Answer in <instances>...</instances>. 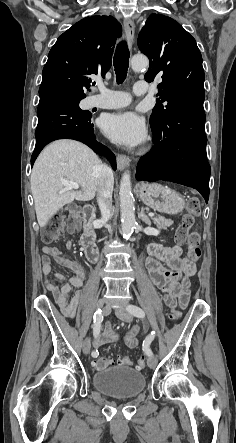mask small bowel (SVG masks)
<instances>
[{"label": "small bowel", "instance_id": "1", "mask_svg": "<svg viewBox=\"0 0 236 443\" xmlns=\"http://www.w3.org/2000/svg\"><path fill=\"white\" fill-rule=\"evenodd\" d=\"M66 244L68 247L71 246L70 241H67ZM43 253L42 269L45 276V286L53 294L63 313L72 317L83 297L81 289L84 286V269L80 263L63 254L57 247L46 246L43 248ZM181 255L182 249L177 245L165 247L153 244L149 248L146 267L151 282L160 289L165 303L169 307L183 309L189 301V279L195 274L196 266L189 258ZM52 260L71 270L74 275L66 280L62 274L54 272ZM53 277L63 281V284L54 283ZM72 288H76L77 291L73 296H70ZM115 340H117V336L109 326H106L104 331L94 338L93 346L97 348ZM125 342L129 347H134L137 344L133 336H128Z\"/></svg>", "mask_w": 236, "mask_h": 443}]
</instances>
